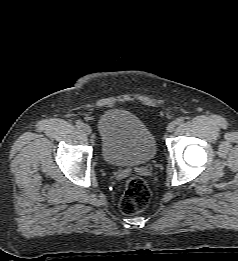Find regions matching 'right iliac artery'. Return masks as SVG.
<instances>
[{
  "label": "right iliac artery",
  "mask_w": 238,
  "mask_h": 261,
  "mask_svg": "<svg viewBox=\"0 0 238 261\" xmlns=\"http://www.w3.org/2000/svg\"><path fill=\"white\" fill-rule=\"evenodd\" d=\"M83 125H84V123H83L82 121H80V120H78V121L76 122V126H77L78 128L83 127Z\"/></svg>",
  "instance_id": "82829eb1"
}]
</instances>
